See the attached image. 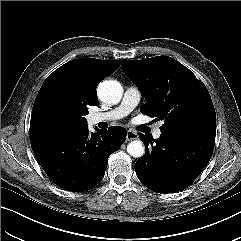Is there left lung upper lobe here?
I'll return each mask as SVG.
<instances>
[{"label":"left lung upper lobe","instance_id":"left-lung-upper-lobe-1","mask_svg":"<svg viewBox=\"0 0 241 241\" xmlns=\"http://www.w3.org/2000/svg\"><path fill=\"white\" fill-rule=\"evenodd\" d=\"M122 67L146 99L142 113L164 120L160 130L215 140L216 114L210 94L187 67L168 56L122 60Z\"/></svg>","mask_w":241,"mask_h":241}]
</instances>
